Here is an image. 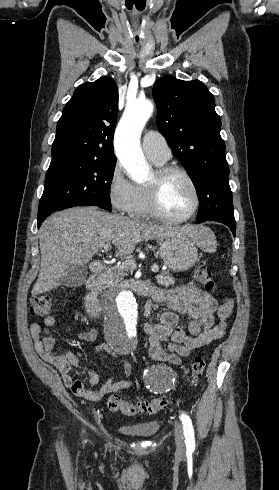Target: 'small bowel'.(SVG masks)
Returning a JSON list of instances; mask_svg holds the SVG:
<instances>
[{
    "mask_svg": "<svg viewBox=\"0 0 279 490\" xmlns=\"http://www.w3.org/2000/svg\"><path fill=\"white\" fill-rule=\"evenodd\" d=\"M150 299L145 308V316L150 318L152 307L156 303L164 304L168 310L161 313L158 323L146 321L143 325L144 331L148 337L149 356L152 360L158 362H168L178 365L181 358L187 357L193 350L199 349L211 341L221 338L226 329V318L232 309L230 301H224L219 304L217 300L208 292L199 289L194 284H186L173 289H162L156 287H144ZM218 313L220 322L214 325V314ZM187 315L190 317L188 330L177 326L179 317ZM55 318L47 315L41 323L34 322L30 325V333L34 342L35 349L40 357L57 368L63 377L64 383L71 392L90 401L98 402L105 395L116 393L120 390L127 389L133 385L129 379L132 373V364L123 359V379H110L105 382L99 389L95 386L99 382L98 374L81 365L77 356L66 351L63 354H57L53 351L55 345L54 337L48 332L46 327L53 326ZM98 336V330L91 328L79 334V338L86 342H93ZM170 339L167 350L161 346V341ZM97 352L108 350L104 344L95 347ZM86 372L89 375L90 386L75 380L71 375V367Z\"/></svg>",
    "mask_w": 279,
    "mask_h": 490,
    "instance_id": "small-bowel-1",
    "label": "small bowel"
}]
</instances>
